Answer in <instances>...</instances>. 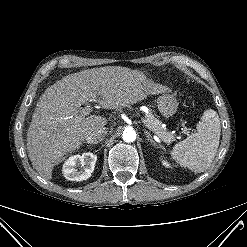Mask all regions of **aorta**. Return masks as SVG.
<instances>
[{
    "label": "aorta",
    "instance_id": "aorta-1",
    "mask_svg": "<svg viewBox=\"0 0 247 247\" xmlns=\"http://www.w3.org/2000/svg\"><path fill=\"white\" fill-rule=\"evenodd\" d=\"M122 138L125 142H134L136 140L135 130L133 128H126L122 133Z\"/></svg>",
    "mask_w": 247,
    "mask_h": 247
}]
</instances>
